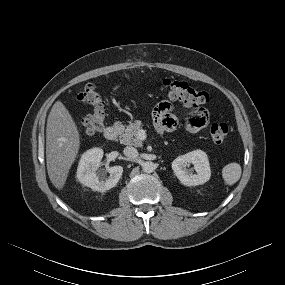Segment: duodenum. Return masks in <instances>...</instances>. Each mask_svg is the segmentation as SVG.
<instances>
[{
    "mask_svg": "<svg viewBox=\"0 0 285 285\" xmlns=\"http://www.w3.org/2000/svg\"><path fill=\"white\" fill-rule=\"evenodd\" d=\"M119 131L120 130L117 125L108 126L104 131V137L109 141H113L117 139Z\"/></svg>",
    "mask_w": 285,
    "mask_h": 285,
    "instance_id": "410a0bca",
    "label": "duodenum"
}]
</instances>
